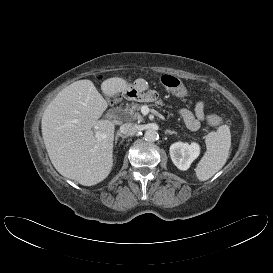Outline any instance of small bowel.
Returning <instances> with one entry per match:
<instances>
[{
	"instance_id": "1",
	"label": "small bowel",
	"mask_w": 273,
	"mask_h": 273,
	"mask_svg": "<svg viewBox=\"0 0 273 273\" xmlns=\"http://www.w3.org/2000/svg\"><path fill=\"white\" fill-rule=\"evenodd\" d=\"M179 115L183 119L186 126L190 130L195 131L199 129L201 123L206 119L205 103L203 101L197 102L194 112L188 109H181L179 111Z\"/></svg>"
}]
</instances>
